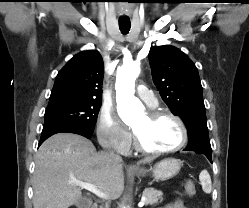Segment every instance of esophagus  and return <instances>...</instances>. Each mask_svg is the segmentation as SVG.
Returning <instances> with one entry per match:
<instances>
[{"label": "esophagus", "instance_id": "1", "mask_svg": "<svg viewBox=\"0 0 249 208\" xmlns=\"http://www.w3.org/2000/svg\"><path fill=\"white\" fill-rule=\"evenodd\" d=\"M130 169H131V170H135V169H137V168H136V166L131 165V166H130Z\"/></svg>", "mask_w": 249, "mask_h": 208}]
</instances>
